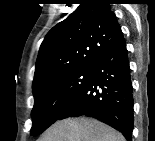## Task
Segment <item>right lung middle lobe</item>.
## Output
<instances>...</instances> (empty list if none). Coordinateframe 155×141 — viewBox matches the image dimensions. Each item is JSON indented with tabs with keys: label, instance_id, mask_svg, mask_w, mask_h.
Returning a JSON list of instances; mask_svg holds the SVG:
<instances>
[{
	"label": "right lung middle lobe",
	"instance_id": "obj_1",
	"mask_svg": "<svg viewBox=\"0 0 155 141\" xmlns=\"http://www.w3.org/2000/svg\"><path fill=\"white\" fill-rule=\"evenodd\" d=\"M93 72V67L76 68L51 76L33 87V125L30 134H41L59 120L62 112L78 97Z\"/></svg>",
	"mask_w": 155,
	"mask_h": 141
}]
</instances>
